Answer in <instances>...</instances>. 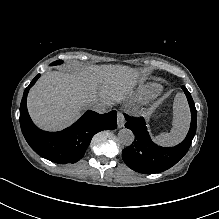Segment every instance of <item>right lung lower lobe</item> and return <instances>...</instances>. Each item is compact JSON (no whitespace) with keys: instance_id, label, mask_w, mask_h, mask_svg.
<instances>
[{"instance_id":"obj_1","label":"right lung lower lobe","mask_w":219,"mask_h":219,"mask_svg":"<svg viewBox=\"0 0 219 219\" xmlns=\"http://www.w3.org/2000/svg\"><path fill=\"white\" fill-rule=\"evenodd\" d=\"M39 77L40 74L32 80L22 97L20 104L22 133L31 148L41 157L61 164L75 163L83 157L94 134L117 127V112L98 114L87 111L78 121L62 131H42L33 124L26 106L28 91Z\"/></svg>"}]
</instances>
